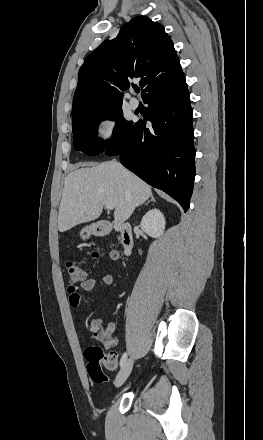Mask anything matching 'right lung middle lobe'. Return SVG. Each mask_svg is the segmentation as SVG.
Wrapping results in <instances>:
<instances>
[{"instance_id": "dd1d6c3e", "label": "right lung middle lobe", "mask_w": 263, "mask_h": 440, "mask_svg": "<svg viewBox=\"0 0 263 440\" xmlns=\"http://www.w3.org/2000/svg\"><path fill=\"white\" fill-rule=\"evenodd\" d=\"M116 120L113 138L108 141H99L97 137V126L101 120ZM134 122L127 121L122 117V107L90 111L81 114L73 119V142L76 150L83 151L88 155H96L103 152L108 146L115 145L132 128Z\"/></svg>"}]
</instances>
